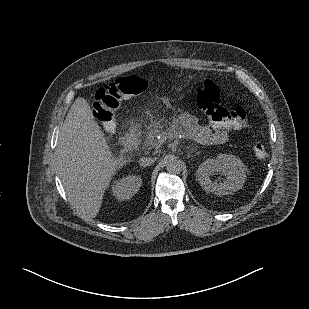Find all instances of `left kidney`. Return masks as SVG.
<instances>
[{
  "mask_svg": "<svg viewBox=\"0 0 309 309\" xmlns=\"http://www.w3.org/2000/svg\"><path fill=\"white\" fill-rule=\"evenodd\" d=\"M219 173L226 179L217 183L211 176ZM200 186L207 192L215 195H228L241 189L246 179V168L243 162L230 154H219L215 159L202 162L196 171Z\"/></svg>",
  "mask_w": 309,
  "mask_h": 309,
  "instance_id": "5707ae66",
  "label": "left kidney"
}]
</instances>
